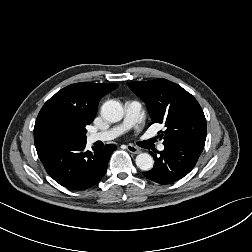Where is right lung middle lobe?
Returning a JSON list of instances; mask_svg holds the SVG:
<instances>
[{
	"mask_svg": "<svg viewBox=\"0 0 252 252\" xmlns=\"http://www.w3.org/2000/svg\"><path fill=\"white\" fill-rule=\"evenodd\" d=\"M85 134L86 132L79 133L64 127L54 126L43 134L41 146L45 147L65 142H83L86 141Z\"/></svg>",
	"mask_w": 252,
	"mask_h": 252,
	"instance_id": "obj_1",
	"label": "right lung middle lobe"
}]
</instances>
